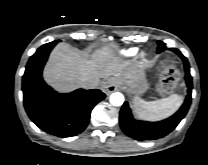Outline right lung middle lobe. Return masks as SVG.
<instances>
[{
  "label": "right lung middle lobe",
  "mask_w": 208,
  "mask_h": 165,
  "mask_svg": "<svg viewBox=\"0 0 208 165\" xmlns=\"http://www.w3.org/2000/svg\"><path fill=\"white\" fill-rule=\"evenodd\" d=\"M57 42H58V41H53V42L47 43V44L41 46L37 51H39V50H41V49H43V48H46V47H48V46H50V45H55V44H57Z\"/></svg>",
  "instance_id": "right-lung-middle-lobe-1"
}]
</instances>
